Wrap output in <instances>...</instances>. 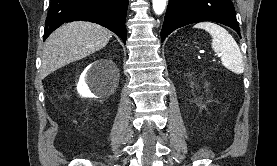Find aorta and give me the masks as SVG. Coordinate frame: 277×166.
I'll return each instance as SVG.
<instances>
[{
    "label": "aorta",
    "instance_id": "762f6f07",
    "mask_svg": "<svg viewBox=\"0 0 277 166\" xmlns=\"http://www.w3.org/2000/svg\"><path fill=\"white\" fill-rule=\"evenodd\" d=\"M167 0H152L153 10L157 15L164 12Z\"/></svg>",
    "mask_w": 277,
    "mask_h": 166
}]
</instances>
